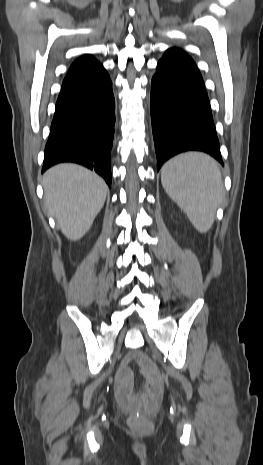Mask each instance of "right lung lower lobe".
I'll return each mask as SVG.
<instances>
[{
	"instance_id": "1",
	"label": "right lung lower lobe",
	"mask_w": 263,
	"mask_h": 465,
	"mask_svg": "<svg viewBox=\"0 0 263 465\" xmlns=\"http://www.w3.org/2000/svg\"><path fill=\"white\" fill-rule=\"evenodd\" d=\"M115 100L104 67L68 74L56 102L42 172L61 162L95 170L111 186Z\"/></svg>"
}]
</instances>
